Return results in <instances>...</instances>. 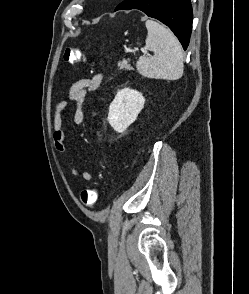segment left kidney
I'll return each mask as SVG.
<instances>
[{
  "label": "left kidney",
  "instance_id": "obj_1",
  "mask_svg": "<svg viewBox=\"0 0 249 294\" xmlns=\"http://www.w3.org/2000/svg\"><path fill=\"white\" fill-rule=\"evenodd\" d=\"M144 103L142 93L130 88L121 89L110 104L107 118L109 124L116 132H124L137 119Z\"/></svg>",
  "mask_w": 249,
  "mask_h": 294
}]
</instances>
